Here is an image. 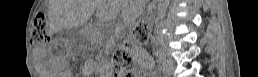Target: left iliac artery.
I'll return each instance as SVG.
<instances>
[{
	"label": "left iliac artery",
	"instance_id": "obj_1",
	"mask_svg": "<svg viewBox=\"0 0 258 77\" xmlns=\"http://www.w3.org/2000/svg\"><path fill=\"white\" fill-rule=\"evenodd\" d=\"M158 55H159L160 57L162 56V54H158V53H157V56H158Z\"/></svg>",
	"mask_w": 258,
	"mask_h": 77
}]
</instances>
